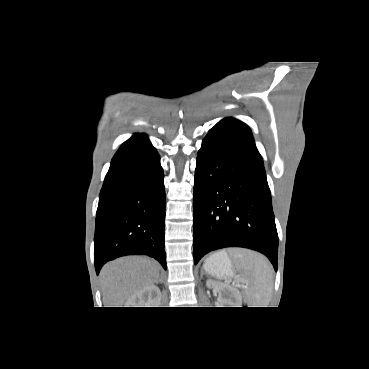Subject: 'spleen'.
<instances>
[{
	"mask_svg": "<svg viewBox=\"0 0 369 369\" xmlns=\"http://www.w3.org/2000/svg\"><path fill=\"white\" fill-rule=\"evenodd\" d=\"M230 254L236 267L249 279L247 299L250 307H267L273 288V268L263 255L244 249H234Z\"/></svg>",
	"mask_w": 369,
	"mask_h": 369,
	"instance_id": "3e777b00",
	"label": "spleen"
}]
</instances>
